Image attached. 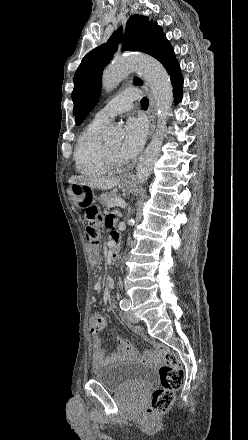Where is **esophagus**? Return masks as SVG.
<instances>
[{
	"label": "esophagus",
	"mask_w": 248,
	"mask_h": 440,
	"mask_svg": "<svg viewBox=\"0 0 248 440\" xmlns=\"http://www.w3.org/2000/svg\"><path fill=\"white\" fill-rule=\"evenodd\" d=\"M146 91L148 93L149 97V109H148V115H149V121H150V136L153 134L155 130V99L154 95L148 86V84L145 85Z\"/></svg>",
	"instance_id": "1"
}]
</instances>
